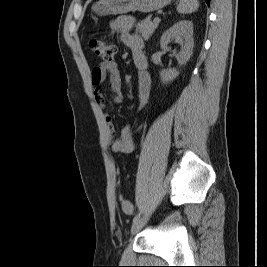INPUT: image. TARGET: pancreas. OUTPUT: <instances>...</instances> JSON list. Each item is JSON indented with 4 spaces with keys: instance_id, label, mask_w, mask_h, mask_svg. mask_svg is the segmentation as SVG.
Segmentation results:
<instances>
[{
    "instance_id": "cf45deb5",
    "label": "pancreas",
    "mask_w": 267,
    "mask_h": 267,
    "mask_svg": "<svg viewBox=\"0 0 267 267\" xmlns=\"http://www.w3.org/2000/svg\"><path fill=\"white\" fill-rule=\"evenodd\" d=\"M157 27L158 23L152 22L150 16H148L136 25V32L140 33L145 40H148Z\"/></svg>"
}]
</instances>
